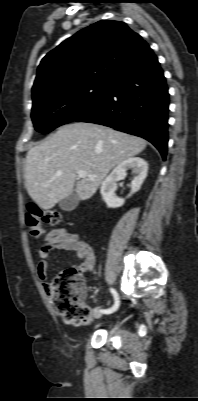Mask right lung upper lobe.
I'll list each match as a JSON object with an SVG mask.
<instances>
[{"mask_svg": "<svg viewBox=\"0 0 198 401\" xmlns=\"http://www.w3.org/2000/svg\"><path fill=\"white\" fill-rule=\"evenodd\" d=\"M150 50L125 23L101 20L63 41L41 61L33 100L86 82H109Z\"/></svg>", "mask_w": 198, "mask_h": 401, "instance_id": "right-lung-upper-lobe-1", "label": "right lung upper lobe"}]
</instances>
